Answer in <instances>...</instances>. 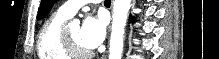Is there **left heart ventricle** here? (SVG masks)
Returning a JSON list of instances; mask_svg holds the SVG:
<instances>
[{"label":"left heart ventricle","mask_w":219,"mask_h":59,"mask_svg":"<svg viewBox=\"0 0 219 59\" xmlns=\"http://www.w3.org/2000/svg\"><path fill=\"white\" fill-rule=\"evenodd\" d=\"M68 34L75 43V45L81 49H87L80 40L79 33L80 27L79 26H71L67 28Z\"/></svg>","instance_id":"left-heart-ventricle-1"}]
</instances>
